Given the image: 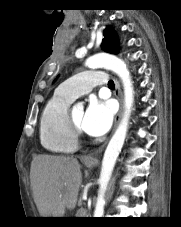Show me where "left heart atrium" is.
Instances as JSON below:
<instances>
[{
  "label": "left heart atrium",
  "mask_w": 181,
  "mask_h": 227,
  "mask_svg": "<svg viewBox=\"0 0 181 227\" xmlns=\"http://www.w3.org/2000/svg\"><path fill=\"white\" fill-rule=\"evenodd\" d=\"M113 120L112 105L103 100H91L82 120V129L91 136L105 134Z\"/></svg>",
  "instance_id": "1"
}]
</instances>
